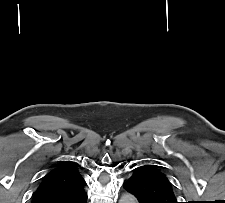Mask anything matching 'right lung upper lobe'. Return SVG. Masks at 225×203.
<instances>
[{"instance_id": "cb5924a9", "label": "right lung upper lobe", "mask_w": 225, "mask_h": 203, "mask_svg": "<svg viewBox=\"0 0 225 203\" xmlns=\"http://www.w3.org/2000/svg\"><path fill=\"white\" fill-rule=\"evenodd\" d=\"M85 186L86 182L76 167L61 165L43 178L32 203H70L86 193Z\"/></svg>"}]
</instances>
